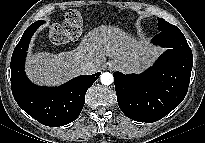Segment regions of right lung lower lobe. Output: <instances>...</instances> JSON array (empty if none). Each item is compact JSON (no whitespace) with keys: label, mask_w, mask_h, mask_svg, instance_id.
<instances>
[{"label":"right lung lower lobe","mask_w":205,"mask_h":143,"mask_svg":"<svg viewBox=\"0 0 205 143\" xmlns=\"http://www.w3.org/2000/svg\"><path fill=\"white\" fill-rule=\"evenodd\" d=\"M44 21L38 20L24 32L11 58V89L18 105L43 125L58 127L71 123L81 113L87 89L101 72L78 76L59 87H42L25 75L24 63L33 33Z\"/></svg>","instance_id":"obj_1"}]
</instances>
